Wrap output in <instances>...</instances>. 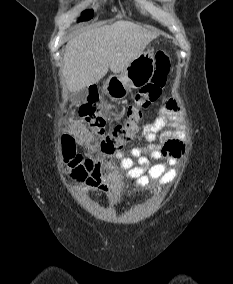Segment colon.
<instances>
[{"label":"colon","instance_id":"5ec220e1","mask_svg":"<svg viewBox=\"0 0 233 284\" xmlns=\"http://www.w3.org/2000/svg\"><path fill=\"white\" fill-rule=\"evenodd\" d=\"M170 72V57L165 51H157L154 55V70L148 81L134 96L127 109V119L116 124L109 132H105V119L101 114V102L92 96L79 109L80 116L91 128L92 134L100 138V148L105 154L119 151L138 131L143 112L161 96ZM63 155L68 163L69 175L76 181L87 180L93 163L83 158L76 151L75 138L64 135L62 138Z\"/></svg>","mask_w":233,"mask_h":284}]
</instances>
